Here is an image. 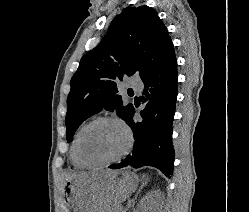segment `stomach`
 <instances>
[{
  "label": "stomach",
  "mask_w": 249,
  "mask_h": 212,
  "mask_svg": "<svg viewBox=\"0 0 249 212\" xmlns=\"http://www.w3.org/2000/svg\"><path fill=\"white\" fill-rule=\"evenodd\" d=\"M127 170H88V175H75L65 182L63 192L70 212H101L102 204H122L127 193H133Z\"/></svg>",
  "instance_id": "obj_1"
}]
</instances>
